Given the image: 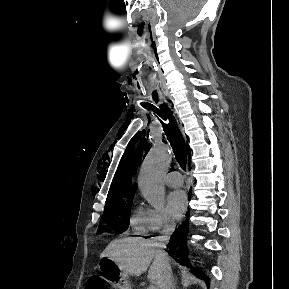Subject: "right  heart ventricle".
<instances>
[{
    "mask_svg": "<svg viewBox=\"0 0 289 289\" xmlns=\"http://www.w3.org/2000/svg\"><path fill=\"white\" fill-rule=\"evenodd\" d=\"M151 209L142 205L133 208L130 218L131 227L135 234L146 235L150 232Z\"/></svg>",
    "mask_w": 289,
    "mask_h": 289,
    "instance_id": "e07e8e85",
    "label": "right heart ventricle"
}]
</instances>
